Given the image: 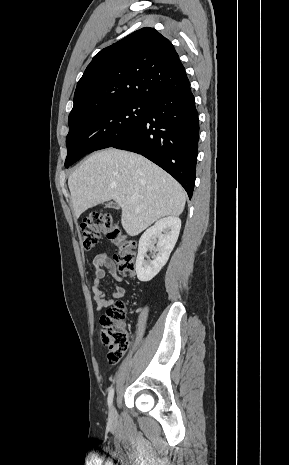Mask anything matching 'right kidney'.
<instances>
[{
  "instance_id": "ca27d5eb",
  "label": "right kidney",
  "mask_w": 289,
  "mask_h": 465,
  "mask_svg": "<svg viewBox=\"0 0 289 465\" xmlns=\"http://www.w3.org/2000/svg\"><path fill=\"white\" fill-rule=\"evenodd\" d=\"M180 228V218L169 216L158 220L142 234L136 258V274L140 281H150L166 264L178 239ZM148 250L156 252L153 260H145Z\"/></svg>"
}]
</instances>
